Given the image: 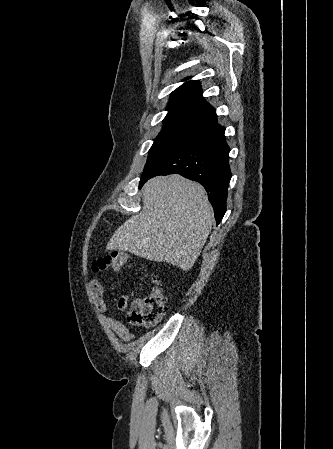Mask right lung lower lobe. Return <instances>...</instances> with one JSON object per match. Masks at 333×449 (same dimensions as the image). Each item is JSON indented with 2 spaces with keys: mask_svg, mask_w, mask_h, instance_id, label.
<instances>
[{
  "mask_svg": "<svg viewBox=\"0 0 333 449\" xmlns=\"http://www.w3.org/2000/svg\"><path fill=\"white\" fill-rule=\"evenodd\" d=\"M224 132L225 128L219 124L199 132L143 176L139 187L154 176L173 173L197 181L208 193L218 225L226 212L227 189L232 176L230 148Z\"/></svg>",
  "mask_w": 333,
  "mask_h": 449,
  "instance_id": "1",
  "label": "right lung lower lobe"
}]
</instances>
